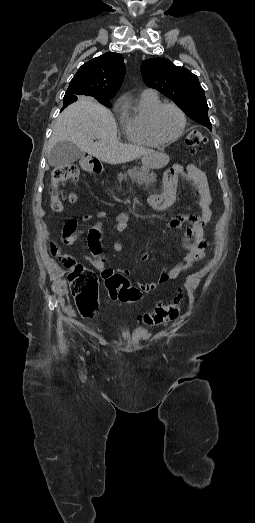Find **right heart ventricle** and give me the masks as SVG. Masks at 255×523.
Instances as JSON below:
<instances>
[{
    "label": "right heart ventricle",
    "mask_w": 255,
    "mask_h": 523,
    "mask_svg": "<svg viewBox=\"0 0 255 523\" xmlns=\"http://www.w3.org/2000/svg\"><path fill=\"white\" fill-rule=\"evenodd\" d=\"M161 103L158 93L154 89H145L133 103L123 106L118 126L124 140L138 146L158 145L148 128V119L151 111Z\"/></svg>",
    "instance_id": "1"
}]
</instances>
